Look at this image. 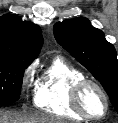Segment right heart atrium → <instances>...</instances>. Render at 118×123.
I'll return each instance as SVG.
<instances>
[{
    "label": "right heart atrium",
    "mask_w": 118,
    "mask_h": 123,
    "mask_svg": "<svg viewBox=\"0 0 118 123\" xmlns=\"http://www.w3.org/2000/svg\"><path fill=\"white\" fill-rule=\"evenodd\" d=\"M34 74H35V65L30 64L29 66L25 68L22 74V86L23 87H27L32 83Z\"/></svg>",
    "instance_id": "d8ad5b80"
}]
</instances>
